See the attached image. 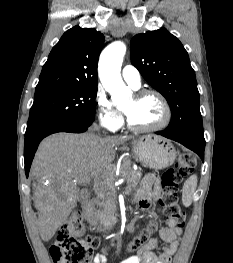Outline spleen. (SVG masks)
Segmentation results:
<instances>
[{
  "label": "spleen",
  "instance_id": "1",
  "mask_svg": "<svg viewBox=\"0 0 233 263\" xmlns=\"http://www.w3.org/2000/svg\"><path fill=\"white\" fill-rule=\"evenodd\" d=\"M197 176H190L183 186L182 203L185 207H189L192 203L193 194L197 188Z\"/></svg>",
  "mask_w": 233,
  "mask_h": 263
}]
</instances>
